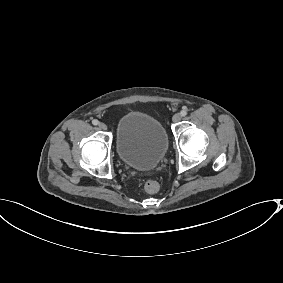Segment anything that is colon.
<instances>
[{
  "mask_svg": "<svg viewBox=\"0 0 283 283\" xmlns=\"http://www.w3.org/2000/svg\"><path fill=\"white\" fill-rule=\"evenodd\" d=\"M144 189L147 193L154 194L160 189V184L156 180H147L144 184Z\"/></svg>",
  "mask_w": 283,
  "mask_h": 283,
  "instance_id": "1",
  "label": "colon"
}]
</instances>
